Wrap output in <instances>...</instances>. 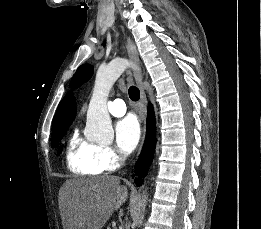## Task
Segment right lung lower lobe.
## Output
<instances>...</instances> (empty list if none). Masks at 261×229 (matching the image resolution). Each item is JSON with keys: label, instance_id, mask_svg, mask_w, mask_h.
<instances>
[{"label": "right lung lower lobe", "instance_id": "obj_1", "mask_svg": "<svg viewBox=\"0 0 261 229\" xmlns=\"http://www.w3.org/2000/svg\"><path fill=\"white\" fill-rule=\"evenodd\" d=\"M155 135H156L155 115H154L152 105H149L146 139L139 161L136 165V171L139 176V178L136 179L137 186H140L142 184L143 182L142 178L146 176L149 166L152 162L154 149L156 145Z\"/></svg>", "mask_w": 261, "mask_h": 229}]
</instances>
